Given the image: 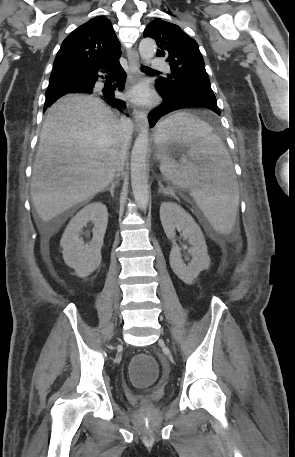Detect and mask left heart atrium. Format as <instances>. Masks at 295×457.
<instances>
[{
    "label": "left heart atrium",
    "mask_w": 295,
    "mask_h": 457,
    "mask_svg": "<svg viewBox=\"0 0 295 457\" xmlns=\"http://www.w3.org/2000/svg\"><path fill=\"white\" fill-rule=\"evenodd\" d=\"M129 97L132 101L141 105L149 104L153 99L152 93L144 83L134 86L129 93Z\"/></svg>",
    "instance_id": "39dd6f15"
}]
</instances>
